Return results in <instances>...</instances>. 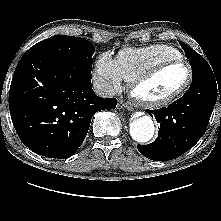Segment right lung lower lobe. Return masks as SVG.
Returning a JSON list of instances; mask_svg holds the SVG:
<instances>
[{
    "label": "right lung lower lobe",
    "instance_id": "1",
    "mask_svg": "<svg viewBox=\"0 0 221 221\" xmlns=\"http://www.w3.org/2000/svg\"><path fill=\"white\" fill-rule=\"evenodd\" d=\"M115 98L97 96L91 74L38 51L18 62L9 109L20 140L33 152L71 157L85 139L94 113L114 109Z\"/></svg>",
    "mask_w": 221,
    "mask_h": 221
}]
</instances>
